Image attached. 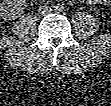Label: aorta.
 <instances>
[{"instance_id": "1", "label": "aorta", "mask_w": 111, "mask_h": 106, "mask_svg": "<svg viewBox=\"0 0 111 106\" xmlns=\"http://www.w3.org/2000/svg\"><path fill=\"white\" fill-rule=\"evenodd\" d=\"M56 9L59 11V10H60V7H59V6H57V7H56Z\"/></svg>"}]
</instances>
